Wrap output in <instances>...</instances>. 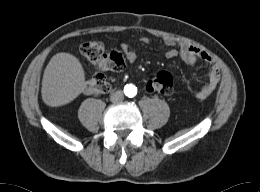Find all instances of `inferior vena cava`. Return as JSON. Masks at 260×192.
<instances>
[{"label": "inferior vena cava", "mask_w": 260, "mask_h": 192, "mask_svg": "<svg viewBox=\"0 0 260 192\" xmlns=\"http://www.w3.org/2000/svg\"><path fill=\"white\" fill-rule=\"evenodd\" d=\"M123 99H124V94H123V92L120 91V90L114 92V93L111 95V97H110V100H111L112 102H121V101H123Z\"/></svg>", "instance_id": "inferior-vena-cava-1"}]
</instances>
